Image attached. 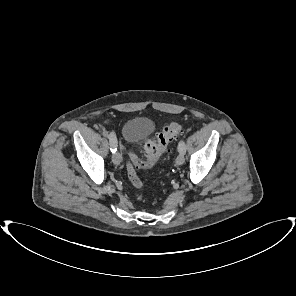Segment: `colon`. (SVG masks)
Segmentation results:
<instances>
[{"mask_svg":"<svg viewBox=\"0 0 296 296\" xmlns=\"http://www.w3.org/2000/svg\"><path fill=\"white\" fill-rule=\"evenodd\" d=\"M182 132V126L177 122L167 125L156 137L145 145L146 157L139 158L133 150L129 151L127 166L128 177L136 188H144V184L137 174V169H150L155 166L167 153L170 142Z\"/></svg>","mask_w":296,"mask_h":296,"instance_id":"1","label":"colon"}]
</instances>
